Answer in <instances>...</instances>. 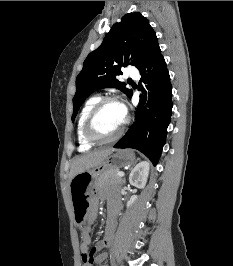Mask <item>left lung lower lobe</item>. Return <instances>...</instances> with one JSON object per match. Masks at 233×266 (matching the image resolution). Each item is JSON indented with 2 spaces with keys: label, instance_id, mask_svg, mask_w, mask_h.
<instances>
[{
  "label": "left lung lower lobe",
  "instance_id": "obj_1",
  "mask_svg": "<svg viewBox=\"0 0 233 266\" xmlns=\"http://www.w3.org/2000/svg\"><path fill=\"white\" fill-rule=\"evenodd\" d=\"M138 70L147 84V96L139 103L134 124L114 147L137 149L156 165L172 113V86L159 45L148 54Z\"/></svg>",
  "mask_w": 233,
  "mask_h": 266
}]
</instances>
